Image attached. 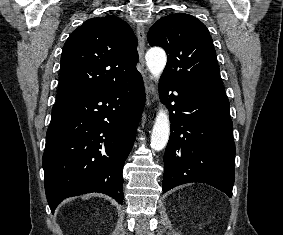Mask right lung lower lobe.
<instances>
[{
	"label": "right lung lower lobe",
	"instance_id": "right-lung-lower-lobe-1",
	"mask_svg": "<svg viewBox=\"0 0 283 235\" xmlns=\"http://www.w3.org/2000/svg\"><path fill=\"white\" fill-rule=\"evenodd\" d=\"M144 103L138 72L127 81L55 105L43 155L52 213L63 199L90 192L123 202V165Z\"/></svg>",
	"mask_w": 283,
	"mask_h": 235
}]
</instances>
